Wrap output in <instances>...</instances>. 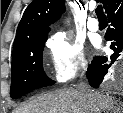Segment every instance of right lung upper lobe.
<instances>
[{"mask_svg":"<svg viewBox=\"0 0 123 113\" xmlns=\"http://www.w3.org/2000/svg\"><path fill=\"white\" fill-rule=\"evenodd\" d=\"M112 0H100L105 11ZM64 0H33L19 22L13 50L24 42L47 35L50 27L64 11Z\"/></svg>","mask_w":123,"mask_h":113,"instance_id":"right-lung-upper-lobe-1","label":"right lung upper lobe"}]
</instances>
